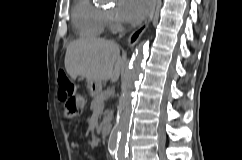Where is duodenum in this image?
<instances>
[{
  "label": "duodenum",
  "instance_id": "410a0bca",
  "mask_svg": "<svg viewBox=\"0 0 242 160\" xmlns=\"http://www.w3.org/2000/svg\"><path fill=\"white\" fill-rule=\"evenodd\" d=\"M111 132V126L109 124L102 125L100 133L102 136L107 137Z\"/></svg>",
  "mask_w": 242,
  "mask_h": 160
}]
</instances>
